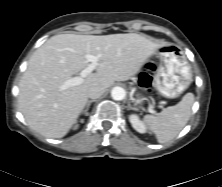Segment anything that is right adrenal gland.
Here are the masks:
<instances>
[{
    "label": "right adrenal gland",
    "instance_id": "obj_1",
    "mask_svg": "<svg viewBox=\"0 0 222 187\" xmlns=\"http://www.w3.org/2000/svg\"><path fill=\"white\" fill-rule=\"evenodd\" d=\"M92 102H94V100H89L88 102H87V104H86V107H85V109H84V111H83V113L87 116L88 115V110H89V107H90V104L92 103Z\"/></svg>",
    "mask_w": 222,
    "mask_h": 187
}]
</instances>
